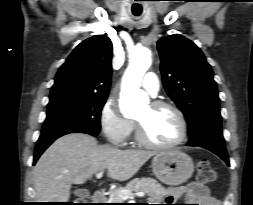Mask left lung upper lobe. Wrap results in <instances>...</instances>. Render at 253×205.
I'll list each match as a JSON object with an SVG mask.
<instances>
[{
  "mask_svg": "<svg viewBox=\"0 0 253 205\" xmlns=\"http://www.w3.org/2000/svg\"><path fill=\"white\" fill-rule=\"evenodd\" d=\"M157 48L165 90L188 122L187 145L224 144L216 82L201 50L179 34L161 38Z\"/></svg>",
  "mask_w": 253,
  "mask_h": 205,
  "instance_id": "obj_1",
  "label": "left lung upper lobe"
}]
</instances>
